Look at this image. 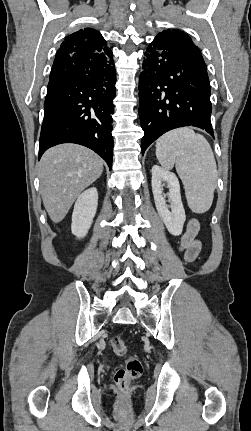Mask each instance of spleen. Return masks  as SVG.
Wrapping results in <instances>:
<instances>
[{
  "mask_svg": "<svg viewBox=\"0 0 251 431\" xmlns=\"http://www.w3.org/2000/svg\"><path fill=\"white\" fill-rule=\"evenodd\" d=\"M156 157L167 170L175 165L189 208L198 214L208 211L217 182L216 161L208 141L188 127L175 129L157 140Z\"/></svg>",
  "mask_w": 251,
  "mask_h": 431,
  "instance_id": "spleen-1",
  "label": "spleen"
}]
</instances>
